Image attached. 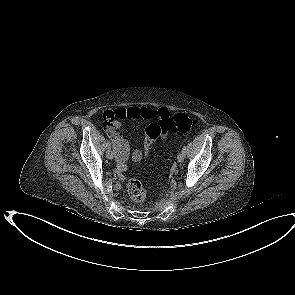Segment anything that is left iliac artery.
I'll return each mask as SVG.
<instances>
[{
	"label": "left iliac artery",
	"mask_w": 295,
	"mask_h": 295,
	"mask_svg": "<svg viewBox=\"0 0 295 295\" xmlns=\"http://www.w3.org/2000/svg\"><path fill=\"white\" fill-rule=\"evenodd\" d=\"M186 150H187V146H184V147L182 148V152L186 153Z\"/></svg>",
	"instance_id": "obj_1"
}]
</instances>
